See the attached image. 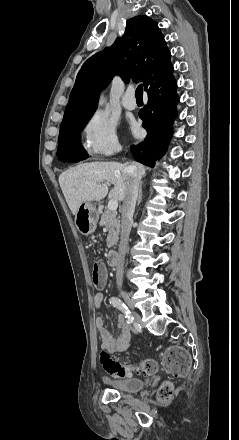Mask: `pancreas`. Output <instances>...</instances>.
Masks as SVG:
<instances>
[{"label": "pancreas", "mask_w": 239, "mask_h": 440, "mask_svg": "<svg viewBox=\"0 0 239 440\" xmlns=\"http://www.w3.org/2000/svg\"><path fill=\"white\" fill-rule=\"evenodd\" d=\"M100 226H105V228L108 230V248H113V246H116L120 234V220L117 216V212H112V210H108V208H106L101 216Z\"/></svg>", "instance_id": "cf45deb5"}]
</instances>
